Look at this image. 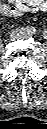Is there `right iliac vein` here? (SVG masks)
I'll return each instance as SVG.
<instances>
[{"mask_svg":"<svg viewBox=\"0 0 47 129\" xmlns=\"http://www.w3.org/2000/svg\"><path fill=\"white\" fill-rule=\"evenodd\" d=\"M24 35V31L22 29H16L11 34V39L16 40Z\"/></svg>","mask_w":47,"mask_h":129,"instance_id":"right-iliac-vein-1","label":"right iliac vein"}]
</instances>
